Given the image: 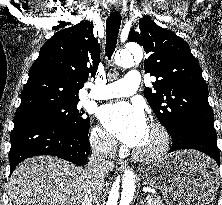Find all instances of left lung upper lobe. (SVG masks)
Instances as JSON below:
<instances>
[{
  "mask_svg": "<svg viewBox=\"0 0 222 205\" xmlns=\"http://www.w3.org/2000/svg\"><path fill=\"white\" fill-rule=\"evenodd\" d=\"M128 40L139 43L148 55L145 72L156 81L153 89H145L144 96L171 137L190 124H214L202 70L182 38L143 17Z\"/></svg>",
  "mask_w": 222,
  "mask_h": 205,
  "instance_id": "5c2ea615",
  "label": "left lung upper lobe"
}]
</instances>
